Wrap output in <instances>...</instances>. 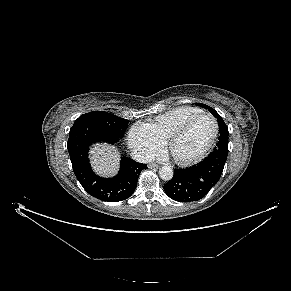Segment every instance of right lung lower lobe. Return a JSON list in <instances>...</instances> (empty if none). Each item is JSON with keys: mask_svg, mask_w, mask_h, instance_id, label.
I'll return each mask as SVG.
<instances>
[{"mask_svg": "<svg viewBox=\"0 0 291 291\" xmlns=\"http://www.w3.org/2000/svg\"><path fill=\"white\" fill-rule=\"evenodd\" d=\"M118 140L92 125L72 127L69 132L67 148L74 173L90 195L103 201L114 202L129 198L136 189L141 171L147 168L146 164L123 157L120 171L115 177L102 178L96 175L89 163V147L97 142L114 144Z\"/></svg>", "mask_w": 291, "mask_h": 291, "instance_id": "obj_1", "label": "right lung lower lobe"}]
</instances>
